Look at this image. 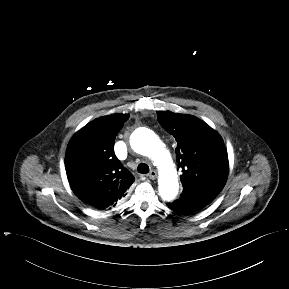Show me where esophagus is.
I'll use <instances>...</instances> for the list:
<instances>
[{
	"mask_svg": "<svg viewBox=\"0 0 289 289\" xmlns=\"http://www.w3.org/2000/svg\"><path fill=\"white\" fill-rule=\"evenodd\" d=\"M147 177L151 180H154L157 177L156 171L152 170L150 173L147 175Z\"/></svg>",
	"mask_w": 289,
	"mask_h": 289,
	"instance_id": "1",
	"label": "esophagus"
}]
</instances>
